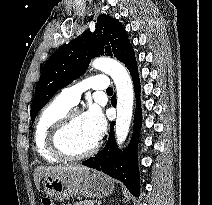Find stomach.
Segmentation results:
<instances>
[{
    "label": "stomach",
    "mask_w": 212,
    "mask_h": 205,
    "mask_svg": "<svg viewBox=\"0 0 212 205\" xmlns=\"http://www.w3.org/2000/svg\"><path fill=\"white\" fill-rule=\"evenodd\" d=\"M43 192L55 201H64L71 196L103 198L114 191L113 181L96 172L72 173L45 176Z\"/></svg>",
    "instance_id": "stomach-1"
}]
</instances>
